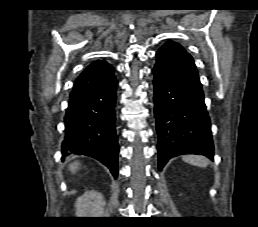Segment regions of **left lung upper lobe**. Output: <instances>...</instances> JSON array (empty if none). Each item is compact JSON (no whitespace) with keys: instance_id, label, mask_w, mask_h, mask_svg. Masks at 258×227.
<instances>
[{"instance_id":"left-lung-upper-lobe-1","label":"left lung upper lobe","mask_w":258,"mask_h":227,"mask_svg":"<svg viewBox=\"0 0 258 227\" xmlns=\"http://www.w3.org/2000/svg\"><path fill=\"white\" fill-rule=\"evenodd\" d=\"M167 43H172V44H175V45H177V46H180V47H182L181 45H179L178 43H175V42H172V41H169V42H167ZM183 48V47H182Z\"/></svg>"}]
</instances>
